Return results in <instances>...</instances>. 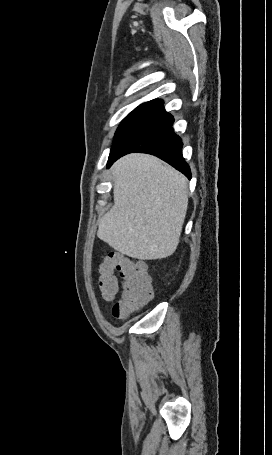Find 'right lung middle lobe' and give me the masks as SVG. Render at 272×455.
I'll return each mask as SVG.
<instances>
[{
    "label": "right lung middle lobe",
    "instance_id": "dd1d6c3e",
    "mask_svg": "<svg viewBox=\"0 0 272 455\" xmlns=\"http://www.w3.org/2000/svg\"><path fill=\"white\" fill-rule=\"evenodd\" d=\"M163 109L159 102H146L139 105L121 122L116 131L113 147L131 130L153 117Z\"/></svg>",
    "mask_w": 272,
    "mask_h": 455
}]
</instances>
